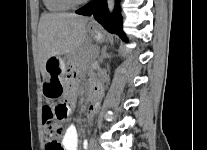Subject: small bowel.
<instances>
[{
  "label": "small bowel",
  "instance_id": "1",
  "mask_svg": "<svg viewBox=\"0 0 207 150\" xmlns=\"http://www.w3.org/2000/svg\"><path fill=\"white\" fill-rule=\"evenodd\" d=\"M78 93V87L76 82H71L69 91L67 93V105L69 109H73L76 105V98ZM95 105L90 107V110L93 111ZM61 144L64 150H77L79 144V136L77 129L74 125H69L61 138ZM91 141L90 140H81V149L82 150H91Z\"/></svg>",
  "mask_w": 207,
  "mask_h": 150
}]
</instances>
